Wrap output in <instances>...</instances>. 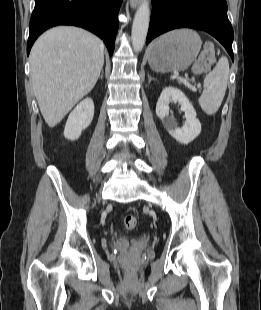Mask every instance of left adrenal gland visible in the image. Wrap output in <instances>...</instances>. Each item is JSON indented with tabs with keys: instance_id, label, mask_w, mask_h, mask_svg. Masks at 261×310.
Segmentation results:
<instances>
[{
	"instance_id": "a2214340",
	"label": "left adrenal gland",
	"mask_w": 261,
	"mask_h": 310,
	"mask_svg": "<svg viewBox=\"0 0 261 310\" xmlns=\"http://www.w3.org/2000/svg\"><path fill=\"white\" fill-rule=\"evenodd\" d=\"M152 80H155V78L151 77V76L148 74V82L150 83Z\"/></svg>"
}]
</instances>
